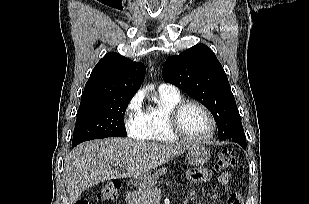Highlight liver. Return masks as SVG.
<instances>
[{"instance_id": "obj_1", "label": "liver", "mask_w": 309, "mask_h": 204, "mask_svg": "<svg viewBox=\"0 0 309 204\" xmlns=\"http://www.w3.org/2000/svg\"><path fill=\"white\" fill-rule=\"evenodd\" d=\"M188 145H162L128 138H107L75 147L64 163L71 202L83 191L112 179L140 176L184 153Z\"/></svg>"}]
</instances>
